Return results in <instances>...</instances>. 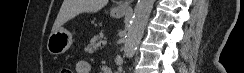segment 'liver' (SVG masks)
I'll return each mask as SVG.
<instances>
[{"label":"liver","mask_w":244,"mask_h":73,"mask_svg":"<svg viewBox=\"0 0 244 73\" xmlns=\"http://www.w3.org/2000/svg\"><path fill=\"white\" fill-rule=\"evenodd\" d=\"M107 3L108 0H64L53 24L52 32L59 30L64 23L81 13L98 12Z\"/></svg>","instance_id":"liver-1"}]
</instances>
